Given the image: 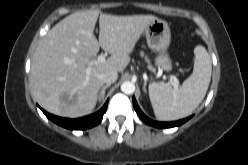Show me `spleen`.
Here are the masks:
<instances>
[{"label":"spleen","instance_id":"obj_1","mask_svg":"<svg viewBox=\"0 0 248 165\" xmlns=\"http://www.w3.org/2000/svg\"><path fill=\"white\" fill-rule=\"evenodd\" d=\"M194 69L183 84L172 88L166 83H151L150 101L157 119L172 121L189 116L204 99L211 80L212 65L205 47L194 48Z\"/></svg>","mask_w":248,"mask_h":165}]
</instances>
